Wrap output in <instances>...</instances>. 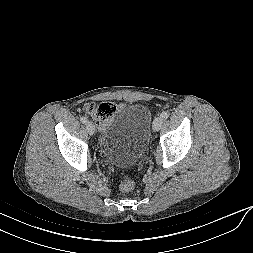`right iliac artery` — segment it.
<instances>
[{"instance_id": "1", "label": "right iliac artery", "mask_w": 253, "mask_h": 253, "mask_svg": "<svg viewBox=\"0 0 253 253\" xmlns=\"http://www.w3.org/2000/svg\"><path fill=\"white\" fill-rule=\"evenodd\" d=\"M80 120H81V122L84 123V124H86L87 121H88L87 118L84 117V116H82V117L80 118Z\"/></svg>"}]
</instances>
